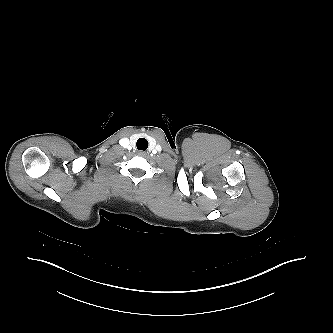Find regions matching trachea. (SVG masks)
Listing matches in <instances>:
<instances>
[{
	"mask_svg": "<svg viewBox=\"0 0 333 333\" xmlns=\"http://www.w3.org/2000/svg\"><path fill=\"white\" fill-rule=\"evenodd\" d=\"M138 150L145 151L148 148V141L145 138H139L136 143Z\"/></svg>",
	"mask_w": 333,
	"mask_h": 333,
	"instance_id": "trachea-1",
	"label": "trachea"
}]
</instances>
